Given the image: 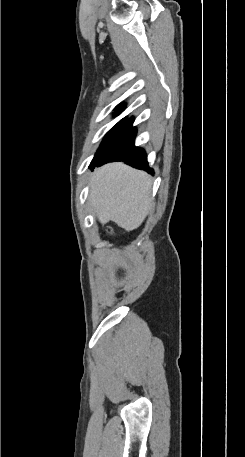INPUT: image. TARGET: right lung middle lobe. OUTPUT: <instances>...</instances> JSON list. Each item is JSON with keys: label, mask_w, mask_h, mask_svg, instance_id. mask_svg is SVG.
<instances>
[{"label": "right lung middle lobe", "mask_w": 245, "mask_h": 457, "mask_svg": "<svg viewBox=\"0 0 245 457\" xmlns=\"http://www.w3.org/2000/svg\"><path fill=\"white\" fill-rule=\"evenodd\" d=\"M118 113H116L117 115ZM126 119H122L120 122H118L113 129H111L107 135L104 137L100 148L98 149L94 159L91 162V165L94 166L95 163L98 161V159L101 157L107 146L111 143V141L114 139V137L117 135L119 130L122 128L123 124L125 123Z\"/></svg>", "instance_id": "obj_1"}]
</instances>
